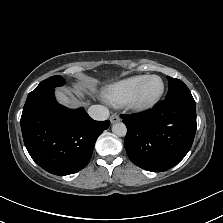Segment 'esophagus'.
Listing matches in <instances>:
<instances>
[{
    "label": "esophagus",
    "mask_w": 223,
    "mask_h": 223,
    "mask_svg": "<svg viewBox=\"0 0 223 223\" xmlns=\"http://www.w3.org/2000/svg\"><path fill=\"white\" fill-rule=\"evenodd\" d=\"M111 123H115V122H119L120 121V117L117 114H112L109 118Z\"/></svg>",
    "instance_id": "obj_1"
}]
</instances>
